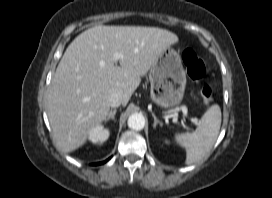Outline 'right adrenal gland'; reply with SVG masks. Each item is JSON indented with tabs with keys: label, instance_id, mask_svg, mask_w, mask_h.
<instances>
[{
	"label": "right adrenal gland",
	"instance_id": "1",
	"mask_svg": "<svg viewBox=\"0 0 272 198\" xmlns=\"http://www.w3.org/2000/svg\"><path fill=\"white\" fill-rule=\"evenodd\" d=\"M116 112H117L116 108L113 109L112 111H110V113H109V115H108V117L106 119V122L109 121L110 119L113 120V121H115V114H116Z\"/></svg>",
	"mask_w": 272,
	"mask_h": 198
}]
</instances>
